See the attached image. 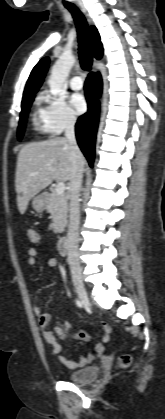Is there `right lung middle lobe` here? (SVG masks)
<instances>
[{
	"instance_id": "dd1d6c3e",
	"label": "right lung middle lobe",
	"mask_w": 165,
	"mask_h": 419,
	"mask_svg": "<svg viewBox=\"0 0 165 419\" xmlns=\"http://www.w3.org/2000/svg\"><path fill=\"white\" fill-rule=\"evenodd\" d=\"M33 99H34V95L22 101L20 121H19V126H18V140H21V138L23 137V133L25 131V126H26V119L28 116L29 108L33 102Z\"/></svg>"
}]
</instances>
